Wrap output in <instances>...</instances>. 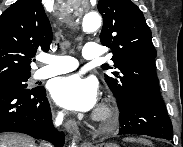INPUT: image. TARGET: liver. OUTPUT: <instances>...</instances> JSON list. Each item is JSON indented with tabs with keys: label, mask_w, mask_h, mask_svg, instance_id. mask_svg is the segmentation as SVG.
<instances>
[{
	"label": "liver",
	"mask_w": 183,
	"mask_h": 147,
	"mask_svg": "<svg viewBox=\"0 0 183 147\" xmlns=\"http://www.w3.org/2000/svg\"><path fill=\"white\" fill-rule=\"evenodd\" d=\"M0 147H35V143L28 136L5 133L0 134Z\"/></svg>",
	"instance_id": "obj_1"
}]
</instances>
